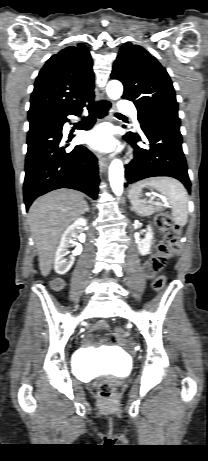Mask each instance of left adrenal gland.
<instances>
[{
  "instance_id": "obj_1",
  "label": "left adrenal gland",
  "mask_w": 208,
  "mask_h": 461,
  "mask_svg": "<svg viewBox=\"0 0 208 461\" xmlns=\"http://www.w3.org/2000/svg\"><path fill=\"white\" fill-rule=\"evenodd\" d=\"M130 210H131V211H135L133 207H130Z\"/></svg>"
}]
</instances>
